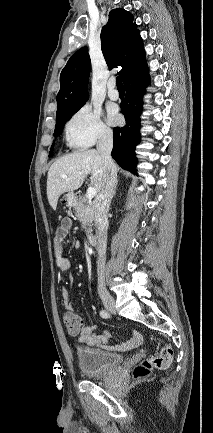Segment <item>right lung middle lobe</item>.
Segmentation results:
<instances>
[{
    "instance_id": "obj_1",
    "label": "right lung middle lobe",
    "mask_w": 213,
    "mask_h": 433,
    "mask_svg": "<svg viewBox=\"0 0 213 433\" xmlns=\"http://www.w3.org/2000/svg\"><path fill=\"white\" fill-rule=\"evenodd\" d=\"M85 104V103H84ZM84 104H82V105H80V106H78V107H76V108H73V109H71V110H69V111H67L66 113H64L60 118H58V119H56V127H55V130H54V135H56V136H58L60 133H61V131H62V129H63V126H64V124H65V122L69 119V118H71V116L74 114V113H76ZM52 149H53V145L51 146V150H50V153H49V157H51L52 155H53V153H52Z\"/></svg>"
}]
</instances>
